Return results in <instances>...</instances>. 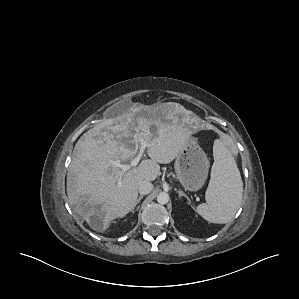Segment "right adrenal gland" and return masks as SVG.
<instances>
[{
    "label": "right adrenal gland",
    "mask_w": 299,
    "mask_h": 299,
    "mask_svg": "<svg viewBox=\"0 0 299 299\" xmlns=\"http://www.w3.org/2000/svg\"><path fill=\"white\" fill-rule=\"evenodd\" d=\"M142 198H143V195H140L139 198H138L137 201H136V205H138V204L140 203V201H141ZM136 205H135V206H136ZM138 208H139V206L136 207V211L138 210ZM132 212L134 213L135 210L133 209Z\"/></svg>",
    "instance_id": "obj_1"
}]
</instances>
